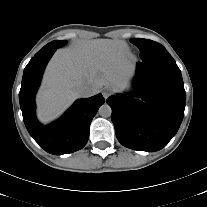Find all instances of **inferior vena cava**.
I'll use <instances>...</instances> for the list:
<instances>
[{"instance_id":"obj_1","label":"inferior vena cava","mask_w":207,"mask_h":207,"mask_svg":"<svg viewBox=\"0 0 207 207\" xmlns=\"http://www.w3.org/2000/svg\"><path fill=\"white\" fill-rule=\"evenodd\" d=\"M77 93L80 97H90L94 94V90L88 85H80L77 87Z\"/></svg>"}]
</instances>
